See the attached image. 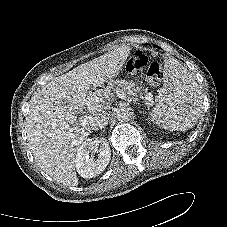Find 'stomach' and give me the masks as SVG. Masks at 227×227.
<instances>
[{
	"label": "stomach",
	"instance_id": "0dacf381",
	"mask_svg": "<svg viewBox=\"0 0 227 227\" xmlns=\"http://www.w3.org/2000/svg\"><path fill=\"white\" fill-rule=\"evenodd\" d=\"M116 90H117V86L115 83L103 82L100 85L99 84L92 85L90 95L92 98L97 99L104 94L114 93V92H116Z\"/></svg>",
	"mask_w": 227,
	"mask_h": 227
}]
</instances>
